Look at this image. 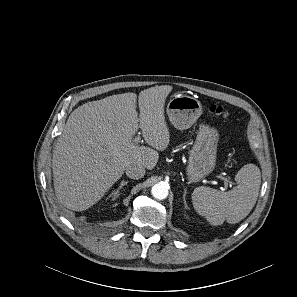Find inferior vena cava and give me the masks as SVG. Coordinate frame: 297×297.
<instances>
[{
	"mask_svg": "<svg viewBox=\"0 0 297 297\" xmlns=\"http://www.w3.org/2000/svg\"><path fill=\"white\" fill-rule=\"evenodd\" d=\"M125 170L126 175L131 179H140L145 175V168L140 165H130Z\"/></svg>",
	"mask_w": 297,
	"mask_h": 297,
	"instance_id": "obj_1",
	"label": "inferior vena cava"
}]
</instances>
